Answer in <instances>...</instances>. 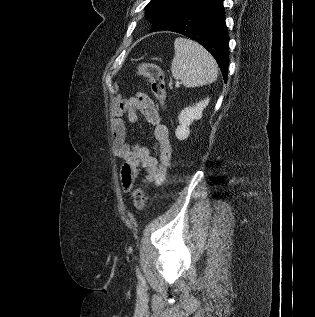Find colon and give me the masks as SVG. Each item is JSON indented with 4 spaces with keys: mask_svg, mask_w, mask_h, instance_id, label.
Segmentation results:
<instances>
[{
    "mask_svg": "<svg viewBox=\"0 0 315 317\" xmlns=\"http://www.w3.org/2000/svg\"><path fill=\"white\" fill-rule=\"evenodd\" d=\"M138 75L143 76L149 82L151 91L159 104L163 107L165 102V81L162 69L152 62H141L136 68ZM134 206L138 211L145 208L146 194L142 187H136L133 191Z\"/></svg>",
    "mask_w": 315,
    "mask_h": 317,
    "instance_id": "1",
    "label": "colon"
}]
</instances>
